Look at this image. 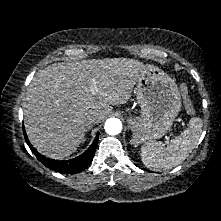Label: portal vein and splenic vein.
Listing matches in <instances>:
<instances>
[{
	"mask_svg": "<svg viewBox=\"0 0 221 221\" xmlns=\"http://www.w3.org/2000/svg\"><path fill=\"white\" fill-rule=\"evenodd\" d=\"M94 84H95V80L92 81V86H91V92H92L93 95H95L96 92H97V89H96V87L94 86Z\"/></svg>",
	"mask_w": 221,
	"mask_h": 221,
	"instance_id": "portal-vein-and-splenic-vein-1",
	"label": "portal vein and splenic vein"
}]
</instances>
